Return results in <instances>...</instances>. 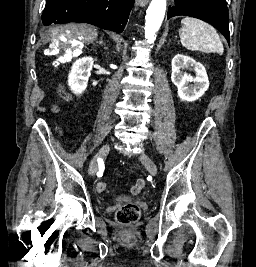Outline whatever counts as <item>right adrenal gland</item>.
Wrapping results in <instances>:
<instances>
[{"label":"right adrenal gland","instance_id":"1","mask_svg":"<svg viewBox=\"0 0 256 267\" xmlns=\"http://www.w3.org/2000/svg\"><path fill=\"white\" fill-rule=\"evenodd\" d=\"M97 44H102V46H104L103 50H107V52H108V48H106V46L103 42V36H101V40H100V42H97Z\"/></svg>","mask_w":256,"mask_h":267}]
</instances>
